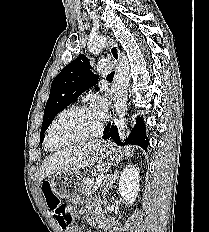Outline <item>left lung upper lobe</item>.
I'll return each instance as SVG.
<instances>
[{"instance_id": "obj_1", "label": "left lung upper lobe", "mask_w": 209, "mask_h": 232, "mask_svg": "<svg viewBox=\"0 0 209 232\" xmlns=\"http://www.w3.org/2000/svg\"><path fill=\"white\" fill-rule=\"evenodd\" d=\"M98 76L90 70L89 59L80 55L56 76L51 84L49 99L44 109L40 140L55 116L90 87L97 83Z\"/></svg>"}]
</instances>
